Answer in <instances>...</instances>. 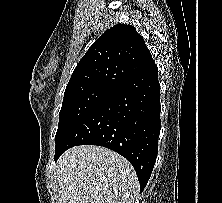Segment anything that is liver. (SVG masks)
Returning a JSON list of instances; mask_svg holds the SVG:
<instances>
[{
  "label": "liver",
  "instance_id": "6515ba94",
  "mask_svg": "<svg viewBox=\"0 0 222 203\" xmlns=\"http://www.w3.org/2000/svg\"><path fill=\"white\" fill-rule=\"evenodd\" d=\"M59 203H136L139 181L130 162L100 146H77L57 162Z\"/></svg>",
  "mask_w": 222,
  "mask_h": 203
}]
</instances>
